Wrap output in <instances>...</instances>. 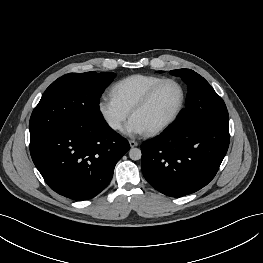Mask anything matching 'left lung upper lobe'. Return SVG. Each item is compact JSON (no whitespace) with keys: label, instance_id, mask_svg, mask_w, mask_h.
<instances>
[{"label":"left lung upper lobe","instance_id":"obj_1","mask_svg":"<svg viewBox=\"0 0 263 263\" xmlns=\"http://www.w3.org/2000/svg\"><path fill=\"white\" fill-rule=\"evenodd\" d=\"M171 73L180 76L189 90L187 107L172 124L176 130L193 131L210 122L229 120L224 101L202 76L190 69L172 70Z\"/></svg>","mask_w":263,"mask_h":263}]
</instances>
